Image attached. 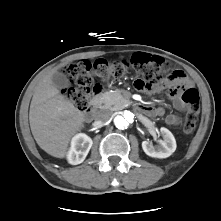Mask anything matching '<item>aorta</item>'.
<instances>
[{
	"mask_svg": "<svg viewBox=\"0 0 221 221\" xmlns=\"http://www.w3.org/2000/svg\"><path fill=\"white\" fill-rule=\"evenodd\" d=\"M134 119V113L130 110H125L121 115L115 117L114 123L118 129H125L134 122Z\"/></svg>",
	"mask_w": 221,
	"mask_h": 221,
	"instance_id": "obj_1",
	"label": "aorta"
}]
</instances>
